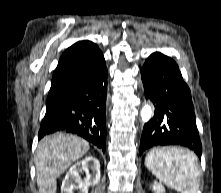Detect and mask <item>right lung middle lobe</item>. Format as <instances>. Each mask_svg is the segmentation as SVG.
Listing matches in <instances>:
<instances>
[{
	"instance_id": "right-lung-middle-lobe-1",
	"label": "right lung middle lobe",
	"mask_w": 221,
	"mask_h": 193,
	"mask_svg": "<svg viewBox=\"0 0 221 193\" xmlns=\"http://www.w3.org/2000/svg\"><path fill=\"white\" fill-rule=\"evenodd\" d=\"M61 108H62L61 100H59V101H48L45 117H48V116L58 112Z\"/></svg>"
}]
</instances>
